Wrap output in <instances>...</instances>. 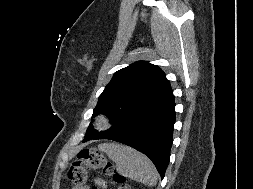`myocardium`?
<instances>
[{
	"instance_id": "1",
	"label": "myocardium",
	"mask_w": 253,
	"mask_h": 189,
	"mask_svg": "<svg viewBox=\"0 0 253 189\" xmlns=\"http://www.w3.org/2000/svg\"><path fill=\"white\" fill-rule=\"evenodd\" d=\"M108 125V120L105 118H102L99 120V126L106 127Z\"/></svg>"
}]
</instances>
